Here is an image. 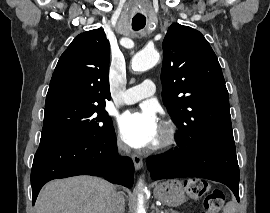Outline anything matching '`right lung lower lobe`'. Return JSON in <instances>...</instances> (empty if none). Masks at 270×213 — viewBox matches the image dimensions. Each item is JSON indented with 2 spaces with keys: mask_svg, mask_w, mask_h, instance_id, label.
<instances>
[{
  "mask_svg": "<svg viewBox=\"0 0 270 213\" xmlns=\"http://www.w3.org/2000/svg\"><path fill=\"white\" fill-rule=\"evenodd\" d=\"M76 175L102 176L128 188L133 185V162L118 157L114 129L99 138L41 139L31 171L33 205L45 183Z\"/></svg>",
  "mask_w": 270,
  "mask_h": 213,
  "instance_id": "right-lung-lower-lobe-1",
  "label": "right lung lower lobe"
}]
</instances>
